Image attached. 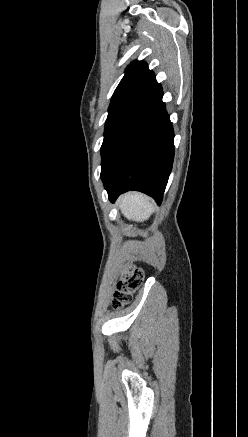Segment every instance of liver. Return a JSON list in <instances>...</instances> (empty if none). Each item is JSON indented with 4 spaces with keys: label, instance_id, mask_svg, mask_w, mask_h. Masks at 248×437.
Wrapping results in <instances>:
<instances>
[{
    "label": "liver",
    "instance_id": "liver-1",
    "mask_svg": "<svg viewBox=\"0 0 248 437\" xmlns=\"http://www.w3.org/2000/svg\"><path fill=\"white\" fill-rule=\"evenodd\" d=\"M118 206L127 219L136 222L147 220L154 211V203L147 196L135 192L121 196Z\"/></svg>",
    "mask_w": 248,
    "mask_h": 437
}]
</instances>
